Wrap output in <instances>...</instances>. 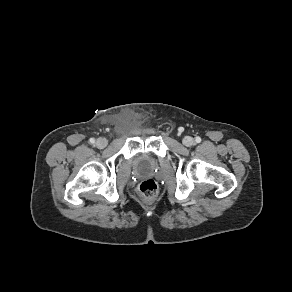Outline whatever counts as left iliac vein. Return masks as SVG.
Here are the masks:
<instances>
[{
    "mask_svg": "<svg viewBox=\"0 0 292 292\" xmlns=\"http://www.w3.org/2000/svg\"><path fill=\"white\" fill-rule=\"evenodd\" d=\"M183 144L187 147H190L194 144V139L190 136H185L183 138Z\"/></svg>",
    "mask_w": 292,
    "mask_h": 292,
    "instance_id": "obj_1",
    "label": "left iliac vein"
}]
</instances>
